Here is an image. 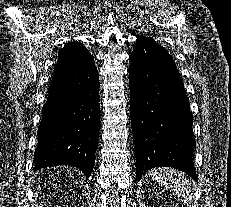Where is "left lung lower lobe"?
Masks as SVG:
<instances>
[{
	"label": "left lung lower lobe",
	"instance_id": "0a47b994",
	"mask_svg": "<svg viewBox=\"0 0 231 207\" xmlns=\"http://www.w3.org/2000/svg\"><path fill=\"white\" fill-rule=\"evenodd\" d=\"M130 107L137 179L172 167L197 180L192 116L173 58L151 37H139L130 56Z\"/></svg>",
	"mask_w": 231,
	"mask_h": 207
}]
</instances>
